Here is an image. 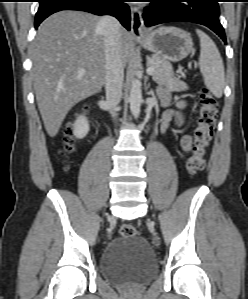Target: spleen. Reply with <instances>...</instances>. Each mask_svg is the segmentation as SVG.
Returning <instances> with one entry per match:
<instances>
[{
  "label": "spleen",
  "mask_w": 248,
  "mask_h": 299,
  "mask_svg": "<svg viewBox=\"0 0 248 299\" xmlns=\"http://www.w3.org/2000/svg\"><path fill=\"white\" fill-rule=\"evenodd\" d=\"M196 33L200 39L199 67L204 83L215 97L220 98L225 86L223 60L213 40L199 29Z\"/></svg>",
  "instance_id": "spleen-1"
}]
</instances>
